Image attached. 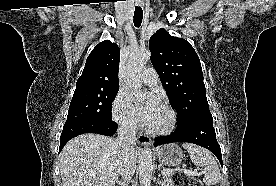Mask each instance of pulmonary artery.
<instances>
[{
	"label": "pulmonary artery",
	"instance_id": "pulmonary-artery-1",
	"mask_svg": "<svg viewBox=\"0 0 276 186\" xmlns=\"http://www.w3.org/2000/svg\"><path fill=\"white\" fill-rule=\"evenodd\" d=\"M140 79L145 85L153 86L158 82V74L153 68L149 67L142 71Z\"/></svg>",
	"mask_w": 276,
	"mask_h": 186
}]
</instances>
